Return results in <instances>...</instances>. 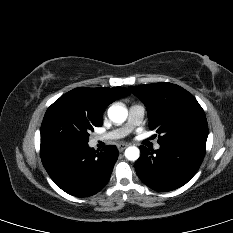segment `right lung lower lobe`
<instances>
[{
    "mask_svg": "<svg viewBox=\"0 0 233 233\" xmlns=\"http://www.w3.org/2000/svg\"><path fill=\"white\" fill-rule=\"evenodd\" d=\"M43 166L57 186L76 197H88L108 183L118 150L115 145L95 151L88 144L43 142L40 146Z\"/></svg>",
    "mask_w": 233,
    "mask_h": 233,
    "instance_id": "98d812e1",
    "label": "right lung lower lobe"
}]
</instances>
